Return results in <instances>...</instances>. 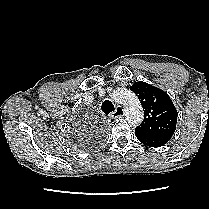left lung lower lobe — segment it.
<instances>
[{
  "label": "left lung lower lobe",
  "instance_id": "obj_1",
  "mask_svg": "<svg viewBox=\"0 0 209 209\" xmlns=\"http://www.w3.org/2000/svg\"><path fill=\"white\" fill-rule=\"evenodd\" d=\"M135 135L141 143L150 147H161L168 142L167 140L159 137H149L138 133H135Z\"/></svg>",
  "mask_w": 209,
  "mask_h": 209
}]
</instances>
